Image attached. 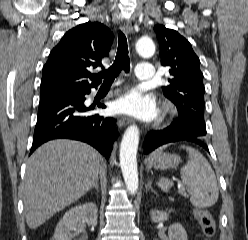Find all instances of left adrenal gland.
I'll return each mask as SVG.
<instances>
[{"mask_svg":"<svg viewBox=\"0 0 248 240\" xmlns=\"http://www.w3.org/2000/svg\"><path fill=\"white\" fill-rule=\"evenodd\" d=\"M149 190H151L155 195H157V193L151 187V181H149L146 185V191H149Z\"/></svg>","mask_w":248,"mask_h":240,"instance_id":"a2214340","label":"left adrenal gland"}]
</instances>
